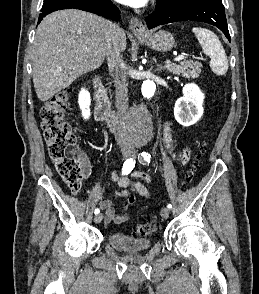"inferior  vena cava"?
Listing matches in <instances>:
<instances>
[{"mask_svg": "<svg viewBox=\"0 0 259 294\" xmlns=\"http://www.w3.org/2000/svg\"><path fill=\"white\" fill-rule=\"evenodd\" d=\"M111 37L106 44V57L111 71L115 70V90H116V117L121 124L128 109V85L125 73V63L121 55L120 35L123 30L118 24L110 22ZM117 138L121 142V129H118Z\"/></svg>", "mask_w": 259, "mask_h": 294, "instance_id": "602c4592", "label": "inferior vena cava"}]
</instances>
